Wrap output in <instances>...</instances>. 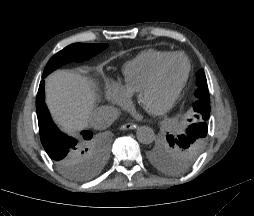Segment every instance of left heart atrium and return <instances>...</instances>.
<instances>
[{
  "label": "left heart atrium",
  "mask_w": 254,
  "mask_h": 216,
  "mask_svg": "<svg viewBox=\"0 0 254 216\" xmlns=\"http://www.w3.org/2000/svg\"><path fill=\"white\" fill-rule=\"evenodd\" d=\"M141 111L152 112L153 110L142 104L140 109L138 110V113H141Z\"/></svg>",
  "instance_id": "39dd6f15"
}]
</instances>
